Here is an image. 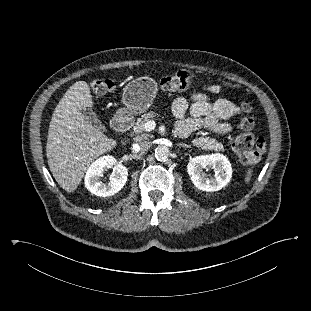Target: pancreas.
<instances>
[{"label":"pancreas","mask_w":311,"mask_h":311,"mask_svg":"<svg viewBox=\"0 0 311 311\" xmlns=\"http://www.w3.org/2000/svg\"><path fill=\"white\" fill-rule=\"evenodd\" d=\"M156 116H158V114L155 113L154 111H150L147 114L142 115V117L139 118L136 122V125L134 127V132L137 134L144 133V130H145L144 125L151 119L155 118ZM192 143L195 146L200 147L203 150H214V151L224 150V146L222 145V143L218 142L214 138L201 136V137L194 139Z\"/></svg>","instance_id":"pancreas-1"}]
</instances>
